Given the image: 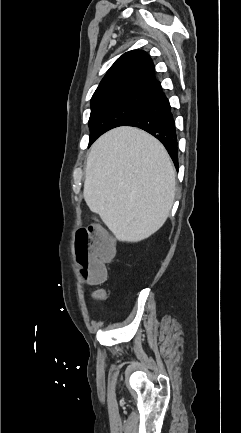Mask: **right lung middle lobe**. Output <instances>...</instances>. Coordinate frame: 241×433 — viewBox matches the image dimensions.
<instances>
[{"label":"right lung middle lobe","mask_w":241,"mask_h":433,"mask_svg":"<svg viewBox=\"0 0 241 433\" xmlns=\"http://www.w3.org/2000/svg\"><path fill=\"white\" fill-rule=\"evenodd\" d=\"M152 96L122 94L91 102L89 145L106 131L124 125L150 102Z\"/></svg>","instance_id":"1"}]
</instances>
